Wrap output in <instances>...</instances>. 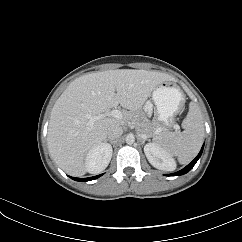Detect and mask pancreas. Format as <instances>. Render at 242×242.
<instances>
[{"label":"pancreas","mask_w":242,"mask_h":242,"mask_svg":"<svg viewBox=\"0 0 242 242\" xmlns=\"http://www.w3.org/2000/svg\"><path fill=\"white\" fill-rule=\"evenodd\" d=\"M132 121L139 135L144 134V135H147L148 137H151L162 129L158 126V124L151 123L142 114L139 117H135Z\"/></svg>","instance_id":"cf45deb5"}]
</instances>
